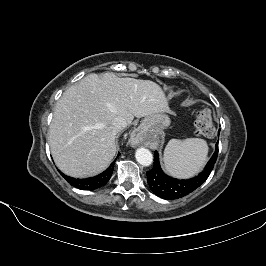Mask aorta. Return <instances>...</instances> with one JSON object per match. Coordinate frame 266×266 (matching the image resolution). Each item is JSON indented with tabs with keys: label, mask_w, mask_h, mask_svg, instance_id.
<instances>
[{
	"label": "aorta",
	"mask_w": 266,
	"mask_h": 266,
	"mask_svg": "<svg viewBox=\"0 0 266 266\" xmlns=\"http://www.w3.org/2000/svg\"><path fill=\"white\" fill-rule=\"evenodd\" d=\"M136 160L143 166H150L153 162L152 153L146 148H139L135 153Z\"/></svg>",
	"instance_id": "obj_1"
}]
</instances>
